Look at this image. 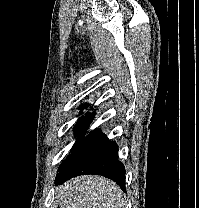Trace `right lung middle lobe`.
Returning a JSON list of instances; mask_svg holds the SVG:
<instances>
[{
	"instance_id": "right-lung-middle-lobe-1",
	"label": "right lung middle lobe",
	"mask_w": 199,
	"mask_h": 208,
	"mask_svg": "<svg viewBox=\"0 0 199 208\" xmlns=\"http://www.w3.org/2000/svg\"><path fill=\"white\" fill-rule=\"evenodd\" d=\"M81 114V112H80ZM94 117L93 114L90 115H86L83 118H80L76 127H75V132L76 135L78 136L75 144L73 145L72 149H71V153L67 156L66 160L62 162V164L59 166L58 172L60 173L66 166L67 164L74 158L77 149L79 148L82 140L84 139L86 130L90 124V122L92 121V118Z\"/></svg>"
}]
</instances>
